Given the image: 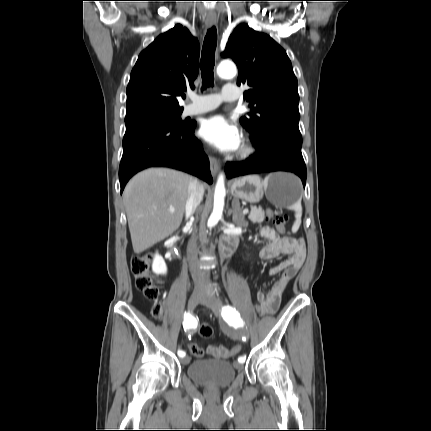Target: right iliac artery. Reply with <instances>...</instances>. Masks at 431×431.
<instances>
[{
  "mask_svg": "<svg viewBox=\"0 0 431 431\" xmlns=\"http://www.w3.org/2000/svg\"><path fill=\"white\" fill-rule=\"evenodd\" d=\"M196 326V322L194 320V318L189 314L186 313L184 314V321H183V327L185 330H189L191 328H194ZM185 352L182 350H178V355L180 357H184L185 356Z\"/></svg>",
  "mask_w": 431,
  "mask_h": 431,
  "instance_id": "right-iliac-artery-1",
  "label": "right iliac artery"
}]
</instances>
